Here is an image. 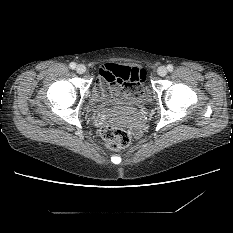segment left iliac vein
Returning a JSON list of instances; mask_svg holds the SVG:
<instances>
[{"label": "left iliac vein", "instance_id": "obj_1", "mask_svg": "<svg viewBox=\"0 0 233 233\" xmlns=\"http://www.w3.org/2000/svg\"><path fill=\"white\" fill-rule=\"evenodd\" d=\"M167 68L165 66H160L158 69H157V73L159 76H165L167 74Z\"/></svg>", "mask_w": 233, "mask_h": 233}]
</instances>
